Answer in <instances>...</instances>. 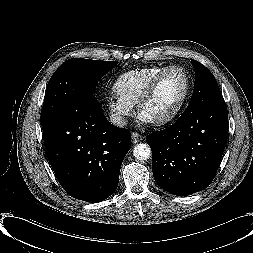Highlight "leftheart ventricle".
Segmentation results:
<instances>
[{"label": "left heart ventricle", "instance_id": "obj_1", "mask_svg": "<svg viewBox=\"0 0 253 253\" xmlns=\"http://www.w3.org/2000/svg\"><path fill=\"white\" fill-rule=\"evenodd\" d=\"M185 81L180 72H171L160 82L153 98L143 111V117L153 120L171 112L180 100Z\"/></svg>", "mask_w": 253, "mask_h": 253}]
</instances>
